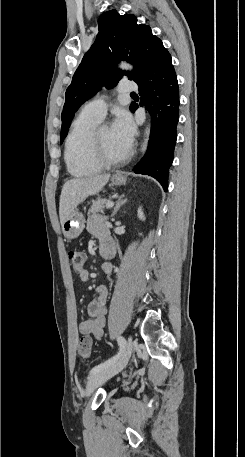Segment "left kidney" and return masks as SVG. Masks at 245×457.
I'll use <instances>...</instances> for the list:
<instances>
[{
	"label": "left kidney",
	"mask_w": 245,
	"mask_h": 457,
	"mask_svg": "<svg viewBox=\"0 0 245 457\" xmlns=\"http://www.w3.org/2000/svg\"><path fill=\"white\" fill-rule=\"evenodd\" d=\"M137 212H138V218H140V220H145V214H144L141 206H139Z\"/></svg>",
	"instance_id": "left-kidney-1"
}]
</instances>
